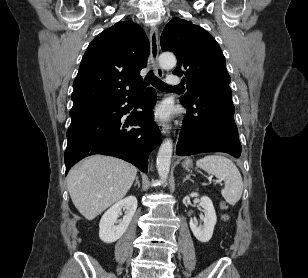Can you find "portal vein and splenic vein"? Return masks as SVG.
Returning a JSON list of instances; mask_svg holds the SVG:
<instances>
[{"instance_id": "portal-vein-and-splenic-vein-1", "label": "portal vein and splenic vein", "mask_w": 308, "mask_h": 278, "mask_svg": "<svg viewBox=\"0 0 308 278\" xmlns=\"http://www.w3.org/2000/svg\"><path fill=\"white\" fill-rule=\"evenodd\" d=\"M210 181L212 180L211 178L209 179ZM217 182H220V180H216Z\"/></svg>"}]
</instances>
